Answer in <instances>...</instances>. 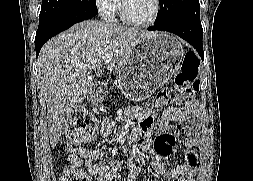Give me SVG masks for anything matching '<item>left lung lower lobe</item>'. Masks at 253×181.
<instances>
[{
    "label": "left lung lower lobe",
    "mask_w": 253,
    "mask_h": 181,
    "mask_svg": "<svg viewBox=\"0 0 253 181\" xmlns=\"http://www.w3.org/2000/svg\"><path fill=\"white\" fill-rule=\"evenodd\" d=\"M148 30L168 31L180 36L188 43H190L197 50L200 57L203 59V29L200 19L177 20L166 22L163 24H154L153 26L149 27Z\"/></svg>",
    "instance_id": "1"
}]
</instances>
